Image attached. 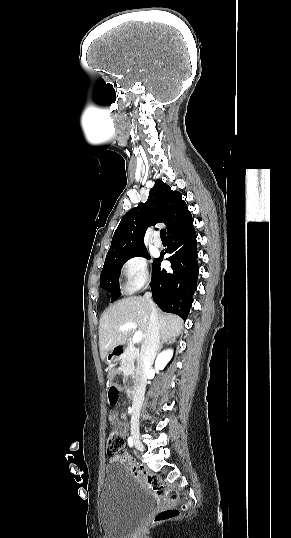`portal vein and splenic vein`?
<instances>
[{
	"instance_id": "obj_1",
	"label": "portal vein and splenic vein",
	"mask_w": 291,
	"mask_h": 538,
	"mask_svg": "<svg viewBox=\"0 0 291 538\" xmlns=\"http://www.w3.org/2000/svg\"><path fill=\"white\" fill-rule=\"evenodd\" d=\"M137 328V325L133 322H127L125 324H123L122 326L119 327V330L121 331H124V330H128V329H136ZM143 338V334L141 331H136L134 333V336H133V343H139L141 342Z\"/></svg>"
}]
</instances>
